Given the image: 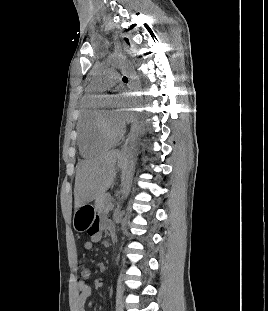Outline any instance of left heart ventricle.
<instances>
[{
  "instance_id": "obj_1",
  "label": "left heart ventricle",
  "mask_w": 268,
  "mask_h": 311,
  "mask_svg": "<svg viewBox=\"0 0 268 311\" xmlns=\"http://www.w3.org/2000/svg\"><path fill=\"white\" fill-rule=\"evenodd\" d=\"M101 112L104 114L105 118L108 120V122L113 128L119 127V124L115 119L112 107L110 106L105 107L103 110H101Z\"/></svg>"
}]
</instances>
